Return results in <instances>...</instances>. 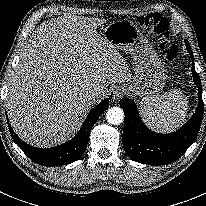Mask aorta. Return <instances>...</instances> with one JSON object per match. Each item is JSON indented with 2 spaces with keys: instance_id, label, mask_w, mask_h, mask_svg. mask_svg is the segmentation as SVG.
<instances>
[{
  "instance_id": "obj_1",
  "label": "aorta",
  "mask_w": 206,
  "mask_h": 206,
  "mask_svg": "<svg viewBox=\"0 0 206 206\" xmlns=\"http://www.w3.org/2000/svg\"><path fill=\"white\" fill-rule=\"evenodd\" d=\"M106 116H107V121L113 125L120 124L124 119L123 110L119 107H111L107 111Z\"/></svg>"
}]
</instances>
